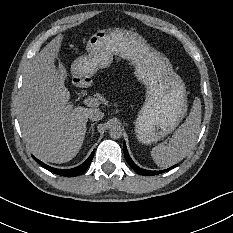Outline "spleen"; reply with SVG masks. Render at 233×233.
Instances as JSON below:
<instances>
[{
	"label": "spleen",
	"instance_id": "spleen-1",
	"mask_svg": "<svg viewBox=\"0 0 233 233\" xmlns=\"http://www.w3.org/2000/svg\"><path fill=\"white\" fill-rule=\"evenodd\" d=\"M201 101L195 98L186 121L175 131L167 145L159 144L151 151V156L160 167L176 164L188 155L195 146L200 132Z\"/></svg>",
	"mask_w": 233,
	"mask_h": 233
}]
</instances>
